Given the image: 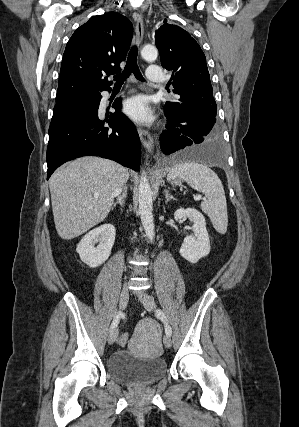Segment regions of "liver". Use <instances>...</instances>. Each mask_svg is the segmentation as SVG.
<instances>
[{
	"mask_svg": "<svg viewBox=\"0 0 299 427\" xmlns=\"http://www.w3.org/2000/svg\"><path fill=\"white\" fill-rule=\"evenodd\" d=\"M128 176L120 164L93 156L75 159L58 169L49 180L58 235L73 239L102 222Z\"/></svg>",
	"mask_w": 299,
	"mask_h": 427,
	"instance_id": "liver-1",
	"label": "liver"
}]
</instances>
